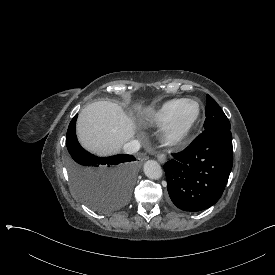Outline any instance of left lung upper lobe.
<instances>
[{"label": "left lung upper lobe", "instance_id": "5c2ea615", "mask_svg": "<svg viewBox=\"0 0 275 275\" xmlns=\"http://www.w3.org/2000/svg\"><path fill=\"white\" fill-rule=\"evenodd\" d=\"M206 98V119L204 122L205 131H210L217 128H231L229 120L216 101L208 94L206 95Z\"/></svg>", "mask_w": 275, "mask_h": 275}]
</instances>
